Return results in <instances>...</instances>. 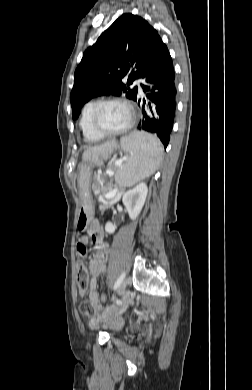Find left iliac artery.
I'll use <instances>...</instances> for the list:
<instances>
[{"label":"left iliac artery","instance_id":"1","mask_svg":"<svg viewBox=\"0 0 252 390\" xmlns=\"http://www.w3.org/2000/svg\"><path fill=\"white\" fill-rule=\"evenodd\" d=\"M125 278V272H123L119 278L117 279V281L115 282L114 284V290H116L117 288H119V286L121 285V283L123 282ZM115 301L117 302L118 305L121 304V301L119 299H115Z\"/></svg>","mask_w":252,"mask_h":390}]
</instances>
